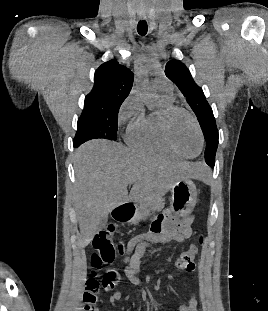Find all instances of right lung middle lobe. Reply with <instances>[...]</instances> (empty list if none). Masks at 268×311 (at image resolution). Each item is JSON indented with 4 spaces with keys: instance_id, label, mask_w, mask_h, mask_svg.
<instances>
[{
    "instance_id": "dd1d6c3e",
    "label": "right lung middle lobe",
    "mask_w": 268,
    "mask_h": 311,
    "mask_svg": "<svg viewBox=\"0 0 268 311\" xmlns=\"http://www.w3.org/2000/svg\"><path fill=\"white\" fill-rule=\"evenodd\" d=\"M120 106L121 104L85 99L73 142L82 144L98 138L116 141Z\"/></svg>"
}]
</instances>
